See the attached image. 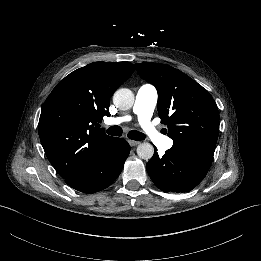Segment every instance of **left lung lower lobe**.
I'll return each instance as SVG.
<instances>
[{
	"label": "left lung lower lobe",
	"instance_id": "1",
	"mask_svg": "<svg viewBox=\"0 0 261 261\" xmlns=\"http://www.w3.org/2000/svg\"><path fill=\"white\" fill-rule=\"evenodd\" d=\"M213 154L197 147L173 146L162 157L155 152L146 168L162 191L189 192L206 176Z\"/></svg>",
	"mask_w": 261,
	"mask_h": 261
}]
</instances>
